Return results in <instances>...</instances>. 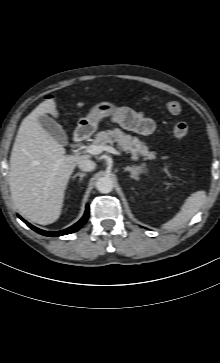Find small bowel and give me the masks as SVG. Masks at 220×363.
I'll return each mask as SVG.
<instances>
[{"label":"small bowel","mask_w":220,"mask_h":363,"mask_svg":"<svg viewBox=\"0 0 220 363\" xmlns=\"http://www.w3.org/2000/svg\"><path fill=\"white\" fill-rule=\"evenodd\" d=\"M111 120L119 123L132 133L148 136L155 131V122L141 111L121 110L112 115Z\"/></svg>","instance_id":"obj_1"}]
</instances>
